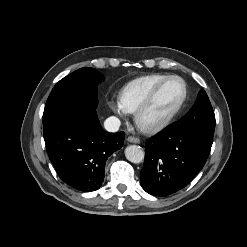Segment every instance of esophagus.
I'll list each match as a JSON object with an SVG mask.
<instances>
[{"label":"esophagus","mask_w":247,"mask_h":247,"mask_svg":"<svg viewBox=\"0 0 247 247\" xmlns=\"http://www.w3.org/2000/svg\"><path fill=\"white\" fill-rule=\"evenodd\" d=\"M127 141L130 142V143H136V144H139L140 143V139L137 138V137H134V136H129L127 138Z\"/></svg>","instance_id":"esophagus-1"}]
</instances>
